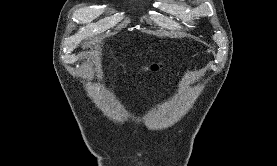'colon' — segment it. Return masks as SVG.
<instances>
[{"instance_id":"obj_1","label":"colon","mask_w":277,"mask_h":166,"mask_svg":"<svg viewBox=\"0 0 277 166\" xmlns=\"http://www.w3.org/2000/svg\"><path fill=\"white\" fill-rule=\"evenodd\" d=\"M158 68V66L157 65H154L153 67H152V69H157Z\"/></svg>"}]
</instances>
